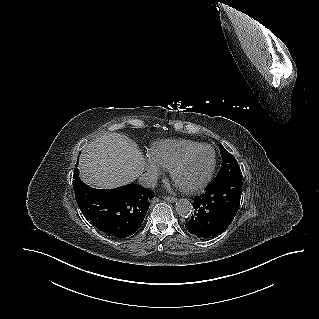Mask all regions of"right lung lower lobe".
Masks as SVG:
<instances>
[{
  "label": "right lung lower lobe",
  "mask_w": 319,
  "mask_h": 319,
  "mask_svg": "<svg viewBox=\"0 0 319 319\" xmlns=\"http://www.w3.org/2000/svg\"><path fill=\"white\" fill-rule=\"evenodd\" d=\"M73 186L77 204L83 215L97 229L124 238L141 226L154 193L138 184L99 190L84 184L76 168Z\"/></svg>",
  "instance_id": "right-lung-lower-lobe-1"
}]
</instances>
